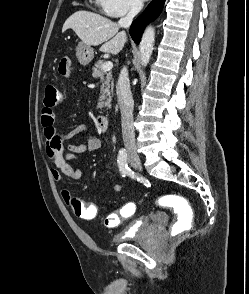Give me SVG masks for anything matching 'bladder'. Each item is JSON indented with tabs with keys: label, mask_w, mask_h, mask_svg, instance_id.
I'll return each instance as SVG.
<instances>
[{
	"label": "bladder",
	"mask_w": 249,
	"mask_h": 294,
	"mask_svg": "<svg viewBox=\"0 0 249 294\" xmlns=\"http://www.w3.org/2000/svg\"><path fill=\"white\" fill-rule=\"evenodd\" d=\"M166 221L164 217H138L127 229L117 234L114 240L118 243H124L131 239H143L152 234L156 225Z\"/></svg>",
	"instance_id": "bladder-1"
}]
</instances>
